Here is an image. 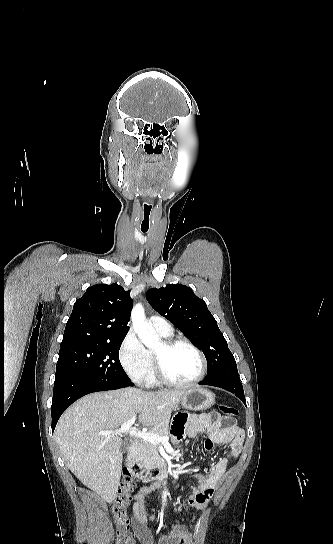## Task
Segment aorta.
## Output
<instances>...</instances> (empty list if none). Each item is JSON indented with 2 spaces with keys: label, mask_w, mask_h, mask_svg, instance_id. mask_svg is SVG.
I'll use <instances>...</instances> for the list:
<instances>
[{
  "label": "aorta",
  "mask_w": 333,
  "mask_h": 544,
  "mask_svg": "<svg viewBox=\"0 0 333 544\" xmlns=\"http://www.w3.org/2000/svg\"><path fill=\"white\" fill-rule=\"evenodd\" d=\"M131 320L135 333L138 335L141 342L150 349H157L162 346L160 337L153 329L148 328L145 322V312L141 304H136L131 312ZM167 492L163 493L166 497Z\"/></svg>",
  "instance_id": "aorta-1"
}]
</instances>
